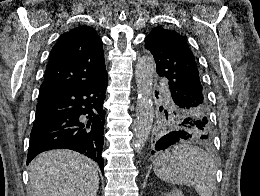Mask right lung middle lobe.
Masks as SVG:
<instances>
[{"label": "right lung middle lobe", "mask_w": 260, "mask_h": 196, "mask_svg": "<svg viewBox=\"0 0 260 196\" xmlns=\"http://www.w3.org/2000/svg\"><path fill=\"white\" fill-rule=\"evenodd\" d=\"M40 118H42V116L36 115L35 120H38V119H40Z\"/></svg>", "instance_id": "right-lung-middle-lobe-1"}]
</instances>
